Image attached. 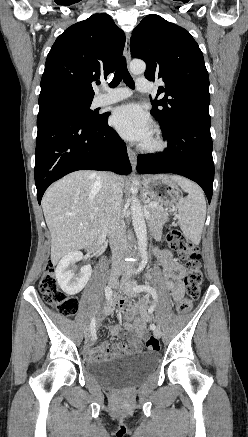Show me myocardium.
Masks as SVG:
<instances>
[{"instance_id":"1","label":"myocardium","mask_w":248,"mask_h":437,"mask_svg":"<svg viewBox=\"0 0 248 437\" xmlns=\"http://www.w3.org/2000/svg\"><path fill=\"white\" fill-rule=\"evenodd\" d=\"M140 148L146 153L157 154L163 152L167 148V142L163 138L161 132L158 129H155L150 140L143 142Z\"/></svg>"}]
</instances>
